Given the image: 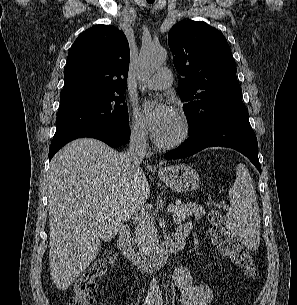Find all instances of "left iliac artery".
I'll return each mask as SVG.
<instances>
[{"mask_svg":"<svg viewBox=\"0 0 297 305\" xmlns=\"http://www.w3.org/2000/svg\"><path fill=\"white\" fill-rule=\"evenodd\" d=\"M155 305H163V300H162V297L160 295H157L155 297Z\"/></svg>","mask_w":297,"mask_h":305,"instance_id":"44dca946","label":"left iliac artery"}]
</instances>
